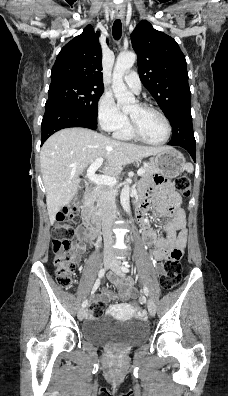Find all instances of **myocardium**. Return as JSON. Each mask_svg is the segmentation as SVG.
Segmentation results:
<instances>
[{
  "label": "myocardium",
  "mask_w": 228,
  "mask_h": 396,
  "mask_svg": "<svg viewBox=\"0 0 228 396\" xmlns=\"http://www.w3.org/2000/svg\"><path fill=\"white\" fill-rule=\"evenodd\" d=\"M138 105L144 110H149V111H153V112L157 113L162 118V120L164 121L165 126H166V136H165V138L163 140H161L159 142H152V141L147 140L140 133V131L138 130V128L135 125L134 121L129 117V129H130V132L132 133V135L136 139H138L139 141H141V142H143L145 144H148V145L161 146V145L166 144L170 140L171 135H172V127H171V124H170V121H169L168 117L163 113V111H161L159 108H157V107H155V106H153L151 104L139 103Z\"/></svg>",
  "instance_id": "f54148a6"
}]
</instances>
